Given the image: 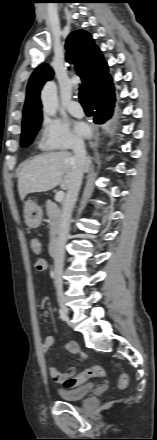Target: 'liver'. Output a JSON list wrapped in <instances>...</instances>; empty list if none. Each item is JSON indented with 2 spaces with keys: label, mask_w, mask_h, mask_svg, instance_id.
I'll return each instance as SVG.
<instances>
[{
  "label": "liver",
  "mask_w": 157,
  "mask_h": 440,
  "mask_svg": "<svg viewBox=\"0 0 157 440\" xmlns=\"http://www.w3.org/2000/svg\"><path fill=\"white\" fill-rule=\"evenodd\" d=\"M74 155L68 151L49 152L23 163L18 172V191L21 200L30 193L46 192L56 186L68 190L74 175ZM91 159L85 161L84 172Z\"/></svg>",
  "instance_id": "obj_1"
}]
</instances>
